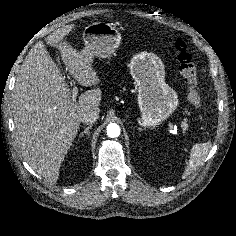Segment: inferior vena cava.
<instances>
[{"label":"inferior vena cava","mask_w":236,"mask_h":236,"mask_svg":"<svg viewBox=\"0 0 236 236\" xmlns=\"http://www.w3.org/2000/svg\"><path fill=\"white\" fill-rule=\"evenodd\" d=\"M98 118H99V111L88 110L81 114L80 121L84 124H93Z\"/></svg>","instance_id":"1"}]
</instances>
